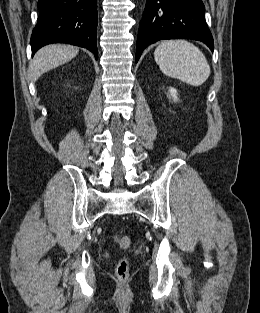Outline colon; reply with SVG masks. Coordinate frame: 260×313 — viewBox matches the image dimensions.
Wrapping results in <instances>:
<instances>
[{
  "mask_svg": "<svg viewBox=\"0 0 260 313\" xmlns=\"http://www.w3.org/2000/svg\"><path fill=\"white\" fill-rule=\"evenodd\" d=\"M114 242L122 249H126L130 246V239L126 235L115 234ZM129 267V261L126 258L120 259L115 268L117 277L121 280H125L129 274Z\"/></svg>",
  "mask_w": 260,
  "mask_h": 313,
  "instance_id": "colon-1",
  "label": "colon"
}]
</instances>
